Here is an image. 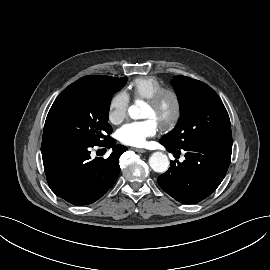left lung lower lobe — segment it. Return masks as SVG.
Here are the masks:
<instances>
[{"mask_svg": "<svg viewBox=\"0 0 270 270\" xmlns=\"http://www.w3.org/2000/svg\"><path fill=\"white\" fill-rule=\"evenodd\" d=\"M169 152H180L161 141ZM182 150L185 160L171 161L168 171L158 177L160 187L177 201L193 204L211 195L220 185L231 160L232 143L193 142Z\"/></svg>", "mask_w": 270, "mask_h": 270, "instance_id": "0a47b994", "label": "left lung lower lobe"}]
</instances>
